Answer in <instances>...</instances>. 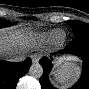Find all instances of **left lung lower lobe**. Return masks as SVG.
Instances as JSON below:
<instances>
[{
    "label": "left lung lower lobe",
    "instance_id": "0a47b994",
    "mask_svg": "<svg viewBox=\"0 0 89 89\" xmlns=\"http://www.w3.org/2000/svg\"><path fill=\"white\" fill-rule=\"evenodd\" d=\"M67 52L81 56L83 60L82 76L71 89H89V35H75L74 40L67 46ZM43 67V75L39 81L42 89H54L48 80V74L52 69V61L46 57L40 59Z\"/></svg>",
    "mask_w": 89,
    "mask_h": 89
}]
</instances>
